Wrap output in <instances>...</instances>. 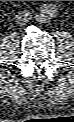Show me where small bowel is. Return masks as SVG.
I'll list each match as a JSON object with an SVG mask.
<instances>
[{
	"mask_svg": "<svg viewBox=\"0 0 74 122\" xmlns=\"http://www.w3.org/2000/svg\"><path fill=\"white\" fill-rule=\"evenodd\" d=\"M55 11V7L52 4H47L44 7H42L41 12L45 16H52Z\"/></svg>",
	"mask_w": 74,
	"mask_h": 122,
	"instance_id": "c3829d8e",
	"label": "small bowel"
}]
</instances>
